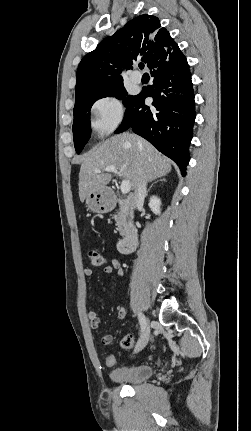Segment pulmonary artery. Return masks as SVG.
I'll list each match as a JSON object with an SVG mask.
<instances>
[{"mask_svg":"<svg viewBox=\"0 0 251 431\" xmlns=\"http://www.w3.org/2000/svg\"><path fill=\"white\" fill-rule=\"evenodd\" d=\"M141 78H142L141 74L136 71L132 72L130 75V79L134 83H139L141 81Z\"/></svg>","mask_w":251,"mask_h":431,"instance_id":"e3ab8cb5","label":"pulmonary artery"}]
</instances>
